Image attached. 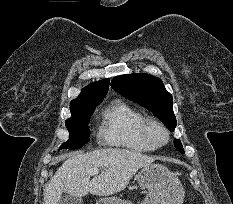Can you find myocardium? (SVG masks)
Instances as JSON below:
<instances>
[{"label":"myocardium","instance_id":"obj_1","mask_svg":"<svg viewBox=\"0 0 233 204\" xmlns=\"http://www.w3.org/2000/svg\"><path fill=\"white\" fill-rule=\"evenodd\" d=\"M153 127H157L163 132L164 141L157 142L154 139L152 132H151ZM140 132H141L143 139L155 149L161 148L164 145H166L169 141V138H170L168 128L161 121H159L158 119L153 118V117H149V118L144 119V121L142 122V124L140 126Z\"/></svg>","mask_w":233,"mask_h":204}]
</instances>
